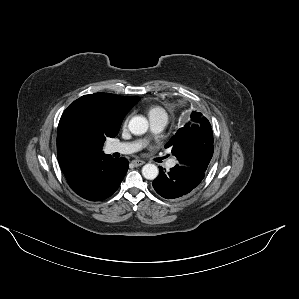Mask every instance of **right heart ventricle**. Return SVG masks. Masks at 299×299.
Listing matches in <instances>:
<instances>
[{"instance_id":"1","label":"right heart ventricle","mask_w":299,"mask_h":299,"mask_svg":"<svg viewBox=\"0 0 299 299\" xmlns=\"http://www.w3.org/2000/svg\"><path fill=\"white\" fill-rule=\"evenodd\" d=\"M159 113H165V110L160 107V106H157V105H151L147 108V115L148 117H153Z\"/></svg>"}]
</instances>
